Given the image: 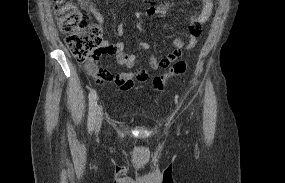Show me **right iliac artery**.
I'll list each match as a JSON object with an SVG mask.
<instances>
[{
  "label": "right iliac artery",
  "mask_w": 285,
  "mask_h": 183,
  "mask_svg": "<svg viewBox=\"0 0 285 183\" xmlns=\"http://www.w3.org/2000/svg\"><path fill=\"white\" fill-rule=\"evenodd\" d=\"M96 98H97L96 91L91 90V92L89 93V114H88L89 132L93 131V129H94Z\"/></svg>",
  "instance_id": "right-iliac-artery-1"
}]
</instances>
